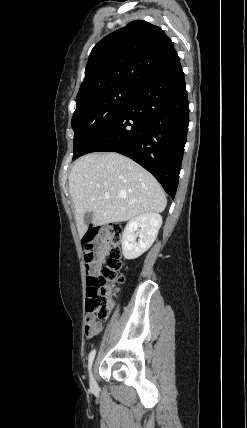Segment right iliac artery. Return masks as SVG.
<instances>
[{
	"label": "right iliac artery",
	"mask_w": 247,
	"mask_h": 428,
	"mask_svg": "<svg viewBox=\"0 0 247 428\" xmlns=\"http://www.w3.org/2000/svg\"><path fill=\"white\" fill-rule=\"evenodd\" d=\"M95 353H96V350H93L89 354V358H88V368H89V370H90V368L92 366V363H93V360H94V357H95Z\"/></svg>",
	"instance_id": "82829eb1"
}]
</instances>
